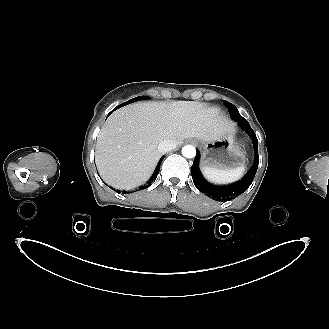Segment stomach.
I'll return each mask as SVG.
<instances>
[{
  "mask_svg": "<svg viewBox=\"0 0 329 329\" xmlns=\"http://www.w3.org/2000/svg\"><path fill=\"white\" fill-rule=\"evenodd\" d=\"M246 153L235 139V131L216 140L205 142L201 166L218 170H232L245 166Z\"/></svg>",
  "mask_w": 329,
  "mask_h": 329,
  "instance_id": "0dacf381",
  "label": "stomach"
}]
</instances>
